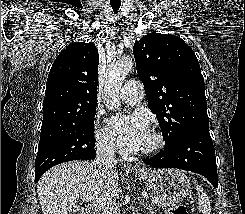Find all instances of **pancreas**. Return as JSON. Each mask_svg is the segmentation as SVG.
Returning a JSON list of instances; mask_svg holds the SVG:
<instances>
[{
  "instance_id": "cf45deb5",
  "label": "pancreas",
  "mask_w": 245,
  "mask_h": 214,
  "mask_svg": "<svg viewBox=\"0 0 245 214\" xmlns=\"http://www.w3.org/2000/svg\"><path fill=\"white\" fill-rule=\"evenodd\" d=\"M151 204L160 206V207H166L171 205V202L160 197L159 195L151 192ZM98 214H120L119 213V206H113V207H100L98 210Z\"/></svg>"
}]
</instances>
